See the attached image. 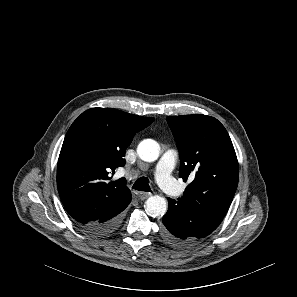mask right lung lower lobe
<instances>
[{"instance_id":"98d812e1","label":"right lung lower lobe","mask_w":297,"mask_h":297,"mask_svg":"<svg viewBox=\"0 0 297 297\" xmlns=\"http://www.w3.org/2000/svg\"><path fill=\"white\" fill-rule=\"evenodd\" d=\"M124 210V209H123ZM119 210L112 212L96 221L90 222L88 224L79 225V227L89 235L96 237H106L113 232H115L122 220V211Z\"/></svg>"}]
</instances>
